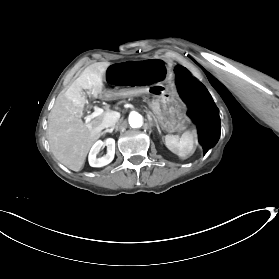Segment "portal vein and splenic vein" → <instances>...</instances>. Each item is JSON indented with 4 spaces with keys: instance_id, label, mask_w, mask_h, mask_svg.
I'll return each mask as SVG.
<instances>
[{
    "instance_id": "obj_1",
    "label": "portal vein and splenic vein",
    "mask_w": 279,
    "mask_h": 279,
    "mask_svg": "<svg viewBox=\"0 0 279 279\" xmlns=\"http://www.w3.org/2000/svg\"><path fill=\"white\" fill-rule=\"evenodd\" d=\"M92 110L94 112L85 117V121L87 124L102 113V109H100L97 105H92Z\"/></svg>"
}]
</instances>
